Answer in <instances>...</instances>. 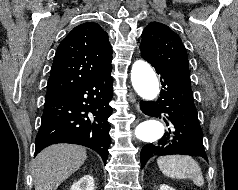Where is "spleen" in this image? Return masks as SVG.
I'll return each mask as SVG.
<instances>
[{"instance_id": "3e777b00", "label": "spleen", "mask_w": 238, "mask_h": 190, "mask_svg": "<svg viewBox=\"0 0 238 190\" xmlns=\"http://www.w3.org/2000/svg\"><path fill=\"white\" fill-rule=\"evenodd\" d=\"M157 164L165 176L177 179L189 178L198 187L204 185L201 168L190 156H161L157 159Z\"/></svg>"}]
</instances>
